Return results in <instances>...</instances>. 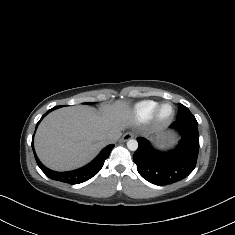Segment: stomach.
I'll use <instances>...</instances> for the list:
<instances>
[{
  "label": "stomach",
  "instance_id": "1",
  "mask_svg": "<svg viewBox=\"0 0 235 235\" xmlns=\"http://www.w3.org/2000/svg\"><path fill=\"white\" fill-rule=\"evenodd\" d=\"M154 145L159 149H170L173 148L178 141L177 134L172 131H156V136L152 137Z\"/></svg>",
  "mask_w": 235,
  "mask_h": 235
}]
</instances>
